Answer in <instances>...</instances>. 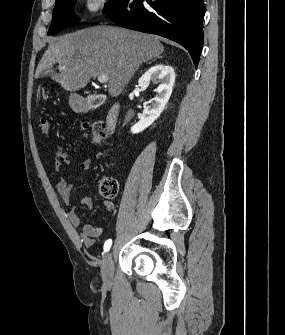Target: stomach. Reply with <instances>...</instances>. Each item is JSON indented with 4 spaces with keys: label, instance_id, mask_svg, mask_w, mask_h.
<instances>
[{
    "label": "stomach",
    "instance_id": "0dacf381",
    "mask_svg": "<svg viewBox=\"0 0 285 335\" xmlns=\"http://www.w3.org/2000/svg\"><path fill=\"white\" fill-rule=\"evenodd\" d=\"M71 104H72V106H74L75 110H77V112H79V110H81V108H82V100H81L80 96H72Z\"/></svg>",
    "mask_w": 285,
    "mask_h": 335
}]
</instances>
